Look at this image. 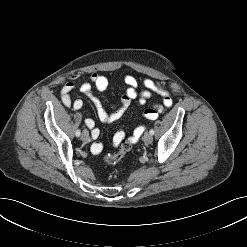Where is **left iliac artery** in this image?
Returning <instances> with one entry per match:
<instances>
[{"instance_id":"44dca946","label":"left iliac artery","mask_w":247,"mask_h":247,"mask_svg":"<svg viewBox=\"0 0 247 247\" xmlns=\"http://www.w3.org/2000/svg\"><path fill=\"white\" fill-rule=\"evenodd\" d=\"M149 132L151 135H153L155 133L153 129H151Z\"/></svg>"}]
</instances>
